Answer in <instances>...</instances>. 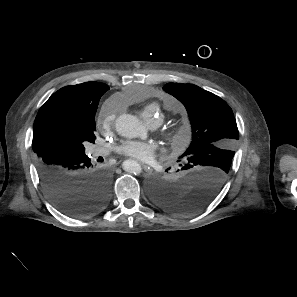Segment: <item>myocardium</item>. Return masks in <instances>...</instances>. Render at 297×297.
Returning a JSON list of instances; mask_svg holds the SVG:
<instances>
[{"instance_id":"1","label":"myocardium","mask_w":297,"mask_h":297,"mask_svg":"<svg viewBox=\"0 0 297 297\" xmlns=\"http://www.w3.org/2000/svg\"><path fill=\"white\" fill-rule=\"evenodd\" d=\"M161 135L167 142L176 148H181L184 146L186 141L185 133L180 127L177 126H170L162 129Z\"/></svg>"}]
</instances>
